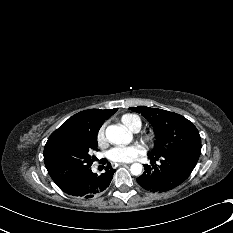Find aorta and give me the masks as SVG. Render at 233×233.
<instances>
[{"label": "aorta", "instance_id": "1", "mask_svg": "<svg viewBox=\"0 0 233 233\" xmlns=\"http://www.w3.org/2000/svg\"><path fill=\"white\" fill-rule=\"evenodd\" d=\"M106 138L111 144L121 145L129 144L132 140V135L122 125H110L106 129ZM143 166L140 163H134L130 167L132 175L140 176Z\"/></svg>", "mask_w": 233, "mask_h": 233}]
</instances>
